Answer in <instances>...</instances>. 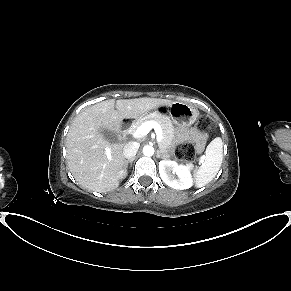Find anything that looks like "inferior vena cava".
<instances>
[{"label":"inferior vena cava","instance_id":"obj_1","mask_svg":"<svg viewBox=\"0 0 291 291\" xmlns=\"http://www.w3.org/2000/svg\"><path fill=\"white\" fill-rule=\"evenodd\" d=\"M140 144L137 142H128L123 148L124 157L131 159L136 155Z\"/></svg>","mask_w":291,"mask_h":291}]
</instances>
